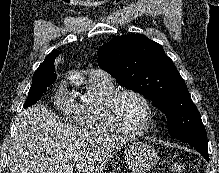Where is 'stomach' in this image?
<instances>
[{"label":"stomach","instance_id":"0dacf381","mask_svg":"<svg viewBox=\"0 0 219 173\" xmlns=\"http://www.w3.org/2000/svg\"><path fill=\"white\" fill-rule=\"evenodd\" d=\"M124 161L131 173H147L159 161L155 149L144 142H133L124 150Z\"/></svg>","mask_w":219,"mask_h":173}]
</instances>
